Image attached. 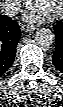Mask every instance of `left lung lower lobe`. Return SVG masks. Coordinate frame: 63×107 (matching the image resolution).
Listing matches in <instances>:
<instances>
[{
	"mask_svg": "<svg viewBox=\"0 0 63 107\" xmlns=\"http://www.w3.org/2000/svg\"><path fill=\"white\" fill-rule=\"evenodd\" d=\"M56 32V48L52 56V62L56 69L63 73V21L54 26Z\"/></svg>",
	"mask_w": 63,
	"mask_h": 107,
	"instance_id": "0a47b994",
	"label": "left lung lower lobe"
}]
</instances>
